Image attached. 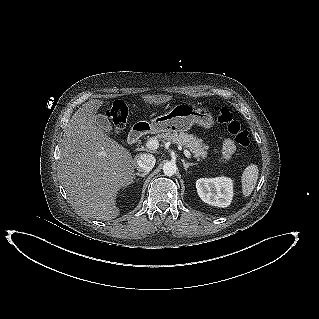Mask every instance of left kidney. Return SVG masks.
Listing matches in <instances>:
<instances>
[{"instance_id": "1", "label": "left kidney", "mask_w": 319, "mask_h": 319, "mask_svg": "<svg viewBox=\"0 0 319 319\" xmlns=\"http://www.w3.org/2000/svg\"><path fill=\"white\" fill-rule=\"evenodd\" d=\"M196 189L203 202L212 206L225 208L231 204L233 182L228 177L200 178Z\"/></svg>"}]
</instances>
